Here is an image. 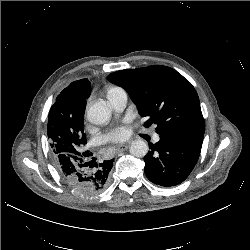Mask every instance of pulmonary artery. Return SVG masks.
<instances>
[{"mask_svg":"<svg viewBox=\"0 0 250 250\" xmlns=\"http://www.w3.org/2000/svg\"><path fill=\"white\" fill-rule=\"evenodd\" d=\"M108 100L115 111H122L128 100L127 92L121 88H116L108 92ZM154 141H159V136H154Z\"/></svg>","mask_w":250,"mask_h":250,"instance_id":"1","label":"pulmonary artery"}]
</instances>
